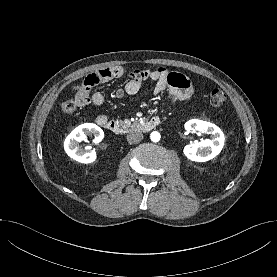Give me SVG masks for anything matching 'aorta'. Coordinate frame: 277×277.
<instances>
[{
    "label": "aorta",
    "instance_id": "obj_1",
    "mask_svg": "<svg viewBox=\"0 0 277 277\" xmlns=\"http://www.w3.org/2000/svg\"><path fill=\"white\" fill-rule=\"evenodd\" d=\"M160 137H161L160 133L157 132V131L152 132L151 135H150V139L153 142H158L160 140Z\"/></svg>",
    "mask_w": 277,
    "mask_h": 277
}]
</instances>
